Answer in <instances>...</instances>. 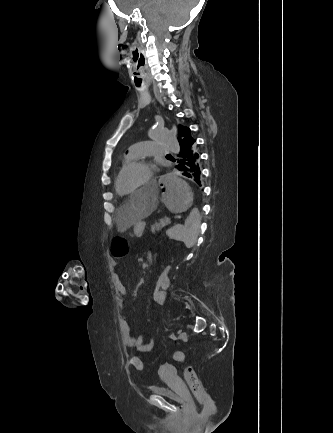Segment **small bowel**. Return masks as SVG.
Listing matches in <instances>:
<instances>
[{"mask_svg":"<svg viewBox=\"0 0 333 433\" xmlns=\"http://www.w3.org/2000/svg\"><path fill=\"white\" fill-rule=\"evenodd\" d=\"M114 286H115V290L118 293V305L121 308H123L126 303V298H125L126 290L120 276H117ZM169 286H170V277L168 275L164 281L163 286L160 287L162 290L161 298L163 299V302L161 304L165 302ZM119 330H120L122 343L125 347L136 349L140 353H147L151 351V349L153 348L152 337L146 333H141L137 336L134 335L132 333L128 321L124 317H121L119 319Z\"/></svg>","mask_w":333,"mask_h":433,"instance_id":"small-bowel-1","label":"small bowel"}]
</instances>
